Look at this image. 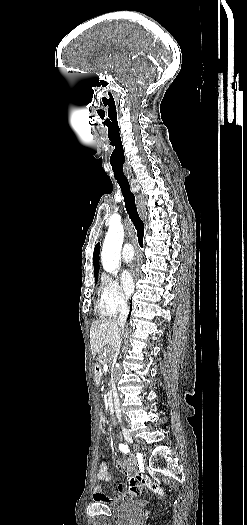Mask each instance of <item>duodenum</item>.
Segmentation results:
<instances>
[{
	"label": "duodenum",
	"mask_w": 247,
	"mask_h": 525,
	"mask_svg": "<svg viewBox=\"0 0 247 525\" xmlns=\"http://www.w3.org/2000/svg\"><path fill=\"white\" fill-rule=\"evenodd\" d=\"M94 371H95L96 377L99 378L101 376L100 366L96 365L94 368ZM108 408H109L110 413H114V399H113L112 393H109L108 395Z\"/></svg>",
	"instance_id": "410a0bca"
}]
</instances>
